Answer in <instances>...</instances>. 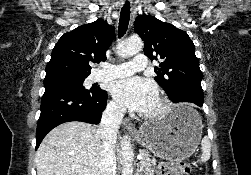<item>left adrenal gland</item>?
<instances>
[{
  "instance_id": "obj_1",
  "label": "left adrenal gland",
  "mask_w": 251,
  "mask_h": 175,
  "mask_svg": "<svg viewBox=\"0 0 251 175\" xmlns=\"http://www.w3.org/2000/svg\"><path fill=\"white\" fill-rule=\"evenodd\" d=\"M135 175H142L141 163H137V169Z\"/></svg>"
}]
</instances>
